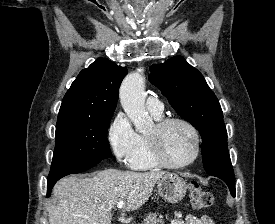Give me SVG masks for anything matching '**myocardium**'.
<instances>
[{
    "mask_svg": "<svg viewBox=\"0 0 275 224\" xmlns=\"http://www.w3.org/2000/svg\"><path fill=\"white\" fill-rule=\"evenodd\" d=\"M172 123H180L186 126L192 133L194 138V154L192 158L184 163L175 164L170 162L164 154L162 143H161V134L162 132ZM147 143L148 147L154 162L160 167L168 169H183L192 165L199 157L201 152V139L200 134L197 128L189 120L178 117V116H169L163 117L154 125V130L152 133L147 134Z\"/></svg>",
    "mask_w": 275,
    "mask_h": 224,
    "instance_id": "obj_1",
    "label": "myocardium"
}]
</instances>
